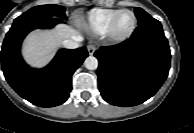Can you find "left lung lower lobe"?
Returning <instances> with one entry per match:
<instances>
[{"instance_id": "obj_1", "label": "left lung lower lobe", "mask_w": 194, "mask_h": 133, "mask_svg": "<svg viewBox=\"0 0 194 133\" xmlns=\"http://www.w3.org/2000/svg\"><path fill=\"white\" fill-rule=\"evenodd\" d=\"M98 87L103 99L115 106L130 107L152 97L168 76L169 45L161 23L151 18L124 42L100 47Z\"/></svg>"}]
</instances>
